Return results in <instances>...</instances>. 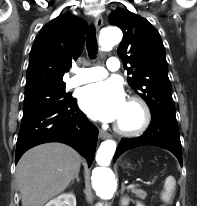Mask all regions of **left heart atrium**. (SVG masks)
<instances>
[{
  "label": "left heart atrium",
  "mask_w": 197,
  "mask_h": 206,
  "mask_svg": "<svg viewBox=\"0 0 197 206\" xmlns=\"http://www.w3.org/2000/svg\"><path fill=\"white\" fill-rule=\"evenodd\" d=\"M79 103L91 118L104 122L119 121L127 105L122 86L115 80L86 86Z\"/></svg>",
  "instance_id": "obj_1"
}]
</instances>
